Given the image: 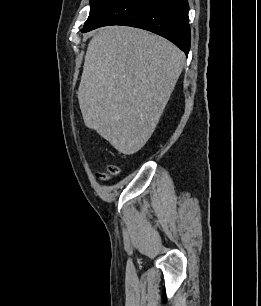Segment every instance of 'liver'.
I'll list each match as a JSON object with an SVG mask.
<instances>
[{
	"label": "liver",
	"instance_id": "1",
	"mask_svg": "<svg viewBox=\"0 0 261 306\" xmlns=\"http://www.w3.org/2000/svg\"><path fill=\"white\" fill-rule=\"evenodd\" d=\"M185 64L173 43L138 28L110 26L90 40L78 89L84 123L132 155L151 137Z\"/></svg>",
	"mask_w": 261,
	"mask_h": 306
}]
</instances>
